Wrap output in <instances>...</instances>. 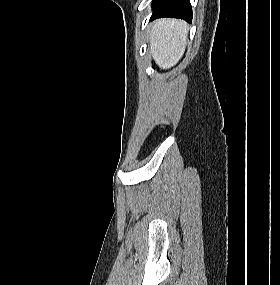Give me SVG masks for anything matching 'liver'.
Masks as SVG:
<instances>
[{
  "mask_svg": "<svg viewBox=\"0 0 280 285\" xmlns=\"http://www.w3.org/2000/svg\"><path fill=\"white\" fill-rule=\"evenodd\" d=\"M187 43V24L177 19H159L150 32V53L155 63L169 69L181 59Z\"/></svg>",
  "mask_w": 280,
  "mask_h": 285,
  "instance_id": "1",
  "label": "liver"
}]
</instances>
